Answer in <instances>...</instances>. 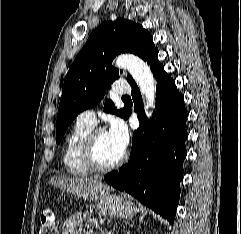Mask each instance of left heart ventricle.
Returning a JSON list of instances; mask_svg holds the SVG:
<instances>
[{
	"instance_id": "left-heart-ventricle-1",
	"label": "left heart ventricle",
	"mask_w": 241,
	"mask_h": 234,
	"mask_svg": "<svg viewBox=\"0 0 241 234\" xmlns=\"http://www.w3.org/2000/svg\"><path fill=\"white\" fill-rule=\"evenodd\" d=\"M123 152L106 131L97 136L96 157L101 164L109 165L114 163L122 156Z\"/></svg>"
}]
</instances>
